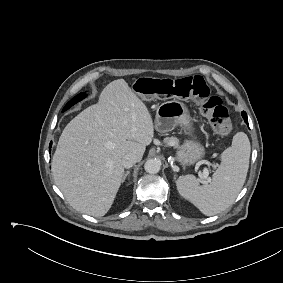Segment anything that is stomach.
Masks as SVG:
<instances>
[{
    "label": "stomach",
    "mask_w": 283,
    "mask_h": 283,
    "mask_svg": "<svg viewBox=\"0 0 283 283\" xmlns=\"http://www.w3.org/2000/svg\"><path fill=\"white\" fill-rule=\"evenodd\" d=\"M180 126L187 134L194 132L193 123L188 108L183 102L171 100L157 107L155 129L161 133L172 131ZM205 155L204 147L195 140H185L176 152L177 161L191 166Z\"/></svg>",
    "instance_id": "obj_1"
}]
</instances>
